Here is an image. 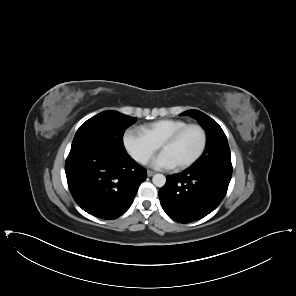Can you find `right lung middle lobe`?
Segmentation results:
<instances>
[{
  "label": "right lung middle lobe",
  "instance_id": "dd1d6c3e",
  "mask_svg": "<svg viewBox=\"0 0 296 296\" xmlns=\"http://www.w3.org/2000/svg\"><path fill=\"white\" fill-rule=\"evenodd\" d=\"M135 121V117L117 111L101 112L81 125L75 134L71 149L90 146L103 148L115 154H126L123 134Z\"/></svg>",
  "mask_w": 296,
  "mask_h": 296
}]
</instances>
